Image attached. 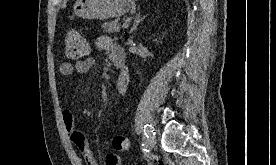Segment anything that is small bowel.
<instances>
[{"label": "small bowel", "mask_w": 276, "mask_h": 165, "mask_svg": "<svg viewBox=\"0 0 276 165\" xmlns=\"http://www.w3.org/2000/svg\"><path fill=\"white\" fill-rule=\"evenodd\" d=\"M97 45L100 49L105 50L112 60L113 58H118L123 62V66L120 69L116 87L120 94H125L129 84V73L128 68L125 64V52L123 48L111 41L109 37L102 36L97 40ZM94 65V59L88 57L83 60H79L75 63L63 62L60 65V73L64 76H69L74 72L86 73ZM62 119L64 126L69 134L72 143L81 152L84 162L86 165H99L95 158V154L89 145L84 134L76 128V122L73 113L69 109H63ZM106 165H120L121 159L117 154H109L105 159Z\"/></svg>", "instance_id": "c3829d8e"}]
</instances>
